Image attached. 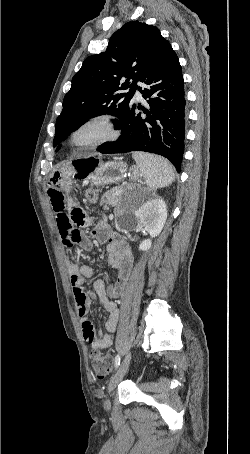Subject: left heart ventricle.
Masks as SVG:
<instances>
[{
	"label": "left heart ventricle",
	"instance_id": "1",
	"mask_svg": "<svg viewBox=\"0 0 250 454\" xmlns=\"http://www.w3.org/2000/svg\"><path fill=\"white\" fill-rule=\"evenodd\" d=\"M99 135H100V131L98 129H88V130L83 131L78 136V142L86 143L88 141L95 139Z\"/></svg>",
	"mask_w": 250,
	"mask_h": 454
}]
</instances>
